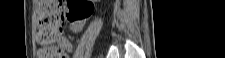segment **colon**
Segmentation results:
<instances>
[{"label":"colon","instance_id":"5ec220e1","mask_svg":"<svg viewBox=\"0 0 225 58\" xmlns=\"http://www.w3.org/2000/svg\"><path fill=\"white\" fill-rule=\"evenodd\" d=\"M93 11L91 1H58L40 0L37 4V41L44 45L42 58H63L64 49L61 40L64 38L62 25L64 19L80 21L86 19Z\"/></svg>","mask_w":225,"mask_h":58}]
</instances>
